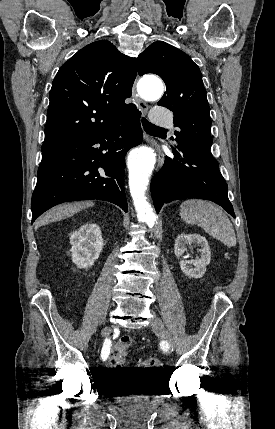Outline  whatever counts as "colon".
<instances>
[{
  "instance_id": "5ec220e1",
  "label": "colon",
  "mask_w": 275,
  "mask_h": 429,
  "mask_svg": "<svg viewBox=\"0 0 275 429\" xmlns=\"http://www.w3.org/2000/svg\"><path fill=\"white\" fill-rule=\"evenodd\" d=\"M130 342V338L125 337L114 344L109 359V365L112 368L122 367ZM140 362L144 368L149 370H160L163 366L162 360L154 356L144 357Z\"/></svg>"
}]
</instances>
